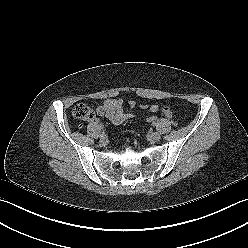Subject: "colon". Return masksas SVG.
Masks as SVG:
<instances>
[{
    "mask_svg": "<svg viewBox=\"0 0 248 248\" xmlns=\"http://www.w3.org/2000/svg\"><path fill=\"white\" fill-rule=\"evenodd\" d=\"M72 113L76 119H79L81 121H90L94 117V113H93L92 109L90 107H88L87 105L82 104V103L74 106ZM156 119H157L156 116L151 115V116L147 117L146 121L148 123L153 124Z\"/></svg>",
    "mask_w": 248,
    "mask_h": 248,
    "instance_id": "1",
    "label": "colon"
}]
</instances>
